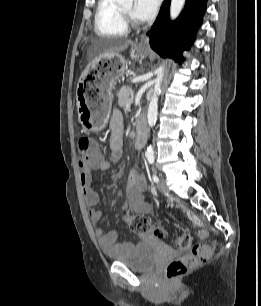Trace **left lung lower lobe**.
Listing matches in <instances>:
<instances>
[{"label":"left lung lower lobe","mask_w":261,"mask_h":306,"mask_svg":"<svg viewBox=\"0 0 261 306\" xmlns=\"http://www.w3.org/2000/svg\"><path fill=\"white\" fill-rule=\"evenodd\" d=\"M171 0H165L150 30V46L158 54L183 60L181 52L194 42L197 29L202 23L207 0H186L184 11L174 21L169 20Z\"/></svg>","instance_id":"0a47b994"}]
</instances>
